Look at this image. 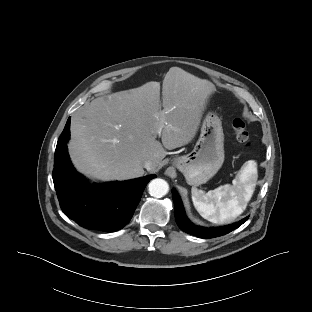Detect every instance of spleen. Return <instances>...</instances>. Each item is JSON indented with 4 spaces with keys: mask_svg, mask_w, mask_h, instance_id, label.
<instances>
[{
    "mask_svg": "<svg viewBox=\"0 0 312 312\" xmlns=\"http://www.w3.org/2000/svg\"><path fill=\"white\" fill-rule=\"evenodd\" d=\"M254 192L252 167L245 165L233 185L225 184L204 194L192 187V201L198 213L212 223L233 221L246 209Z\"/></svg>",
    "mask_w": 312,
    "mask_h": 312,
    "instance_id": "obj_1",
    "label": "spleen"
}]
</instances>
